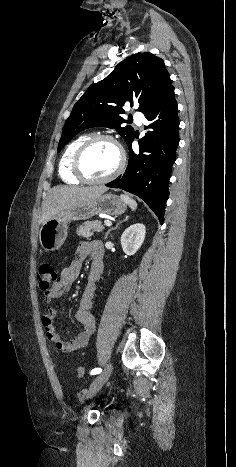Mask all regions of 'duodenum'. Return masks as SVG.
<instances>
[{"mask_svg": "<svg viewBox=\"0 0 236 467\" xmlns=\"http://www.w3.org/2000/svg\"><path fill=\"white\" fill-rule=\"evenodd\" d=\"M92 278H95V273L92 274Z\"/></svg>", "mask_w": 236, "mask_h": 467, "instance_id": "1", "label": "duodenum"}]
</instances>
